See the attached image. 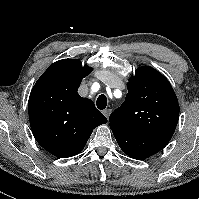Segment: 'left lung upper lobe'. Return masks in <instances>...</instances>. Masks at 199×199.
Returning <instances> with one entry per match:
<instances>
[{"label": "left lung upper lobe", "instance_id": "5c2ea615", "mask_svg": "<svg viewBox=\"0 0 199 199\" xmlns=\"http://www.w3.org/2000/svg\"><path fill=\"white\" fill-rule=\"evenodd\" d=\"M124 103L109 118L110 128L167 144L179 119L176 94L165 76L150 66L139 67L127 84Z\"/></svg>", "mask_w": 199, "mask_h": 199}]
</instances>
